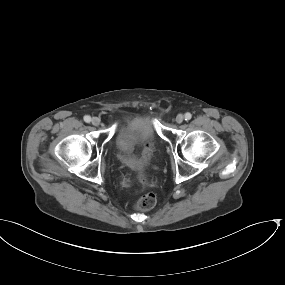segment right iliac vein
<instances>
[{
  "label": "right iliac vein",
  "mask_w": 285,
  "mask_h": 285,
  "mask_svg": "<svg viewBox=\"0 0 285 285\" xmlns=\"http://www.w3.org/2000/svg\"><path fill=\"white\" fill-rule=\"evenodd\" d=\"M100 119L98 117H93L92 120H91V123L94 125V126H99L100 125Z\"/></svg>",
  "instance_id": "63e3f726"
}]
</instances>
